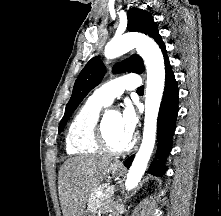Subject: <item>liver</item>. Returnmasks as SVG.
Segmentation results:
<instances>
[{
	"label": "liver",
	"instance_id": "6515ba94",
	"mask_svg": "<svg viewBox=\"0 0 221 216\" xmlns=\"http://www.w3.org/2000/svg\"><path fill=\"white\" fill-rule=\"evenodd\" d=\"M110 163L109 157L78 156L63 164L58 181L63 216H82L90 193L102 183Z\"/></svg>",
	"mask_w": 221,
	"mask_h": 216
}]
</instances>
